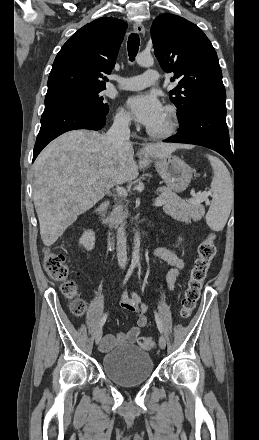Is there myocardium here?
<instances>
[{
  "mask_svg": "<svg viewBox=\"0 0 259 440\" xmlns=\"http://www.w3.org/2000/svg\"><path fill=\"white\" fill-rule=\"evenodd\" d=\"M166 115V125L161 130H153L151 128L147 129V133L154 138H168L172 136L178 127L177 112L175 107L167 105L164 108Z\"/></svg>",
  "mask_w": 259,
  "mask_h": 440,
  "instance_id": "f54148a6",
  "label": "myocardium"
}]
</instances>
